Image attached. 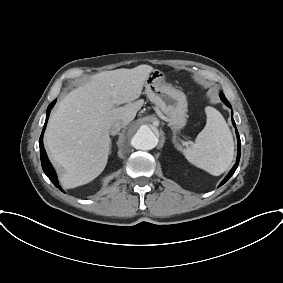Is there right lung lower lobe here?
<instances>
[{
    "instance_id": "right-lung-lower-lobe-1",
    "label": "right lung lower lobe",
    "mask_w": 283,
    "mask_h": 283,
    "mask_svg": "<svg viewBox=\"0 0 283 283\" xmlns=\"http://www.w3.org/2000/svg\"><path fill=\"white\" fill-rule=\"evenodd\" d=\"M54 104H55V101H53L48 106L46 122H45V125L43 127V131H42V134L40 136V139H39V147H40L41 164H42L43 171L48 176V178L52 181V183L62 191V189L58 186L56 174H55L54 169L52 168V166H51V164H50V162L47 158V155H46V152H45V149H44V146H43V133H44L46 125H47L50 110L54 106Z\"/></svg>"
}]
</instances>
